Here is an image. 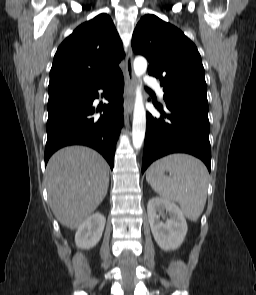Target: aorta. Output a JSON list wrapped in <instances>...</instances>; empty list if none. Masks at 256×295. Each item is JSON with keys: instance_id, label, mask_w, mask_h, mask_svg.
Instances as JSON below:
<instances>
[{"instance_id": "obj_1", "label": "aorta", "mask_w": 256, "mask_h": 295, "mask_svg": "<svg viewBox=\"0 0 256 295\" xmlns=\"http://www.w3.org/2000/svg\"><path fill=\"white\" fill-rule=\"evenodd\" d=\"M135 75L140 78L147 70V61L144 57L134 60ZM135 105L132 124V142L135 149L141 148L146 131V112L143 103L141 87L138 85L135 92Z\"/></svg>"}]
</instances>
